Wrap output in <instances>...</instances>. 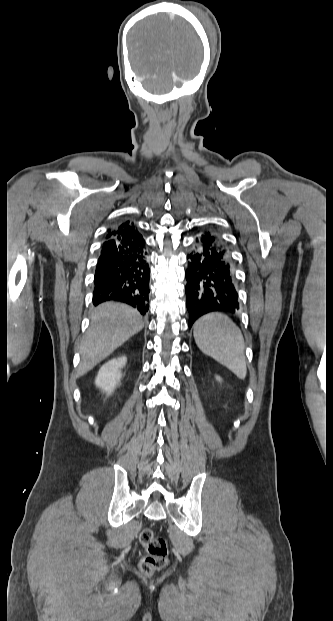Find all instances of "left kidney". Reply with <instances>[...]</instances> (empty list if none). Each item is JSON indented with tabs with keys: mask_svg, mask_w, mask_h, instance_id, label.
<instances>
[{
	"mask_svg": "<svg viewBox=\"0 0 333 621\" xmlns=\"http://www.w3.org/2000/svg\"><path fill=\"white\" fill-rule=\"evenodd\" d=\"M216 379H217L218 381H221V378H220L219 376H217V377H216Z\"/></svg>",
	"mask_w": 333,
	"mask_h": 621,
	"instance_id": "1",
	"label": "left kidney"
}]
</instances>
